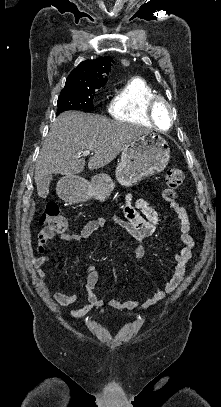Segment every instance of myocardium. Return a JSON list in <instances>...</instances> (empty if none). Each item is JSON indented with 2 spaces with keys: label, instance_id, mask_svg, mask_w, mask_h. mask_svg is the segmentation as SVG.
Here are the masks:
<instances>
[{
  "label": "myocardium",
  "instance_id": "f54148a6",
  "mask_svg": "<svg viewBox=\"0 0 221 407\" xmlns=\"http://www.w3.org/2000/svg\"><path fill=\"white\" fill-rule=\"evenodd\" d=\"M160 106H165L169 112V124H168V127L166 128V130H168L172 127V125L174 123V110H173L171 103L167 99H165L164 97L159 96V95L151 98L147 104V110H148L149 118H150L152 124L158 130L164 131L158 127L157 121H156V110Z\"/></svg>",
  "mask_w": 221,
  "mask_h": 407
}]
</instances>
